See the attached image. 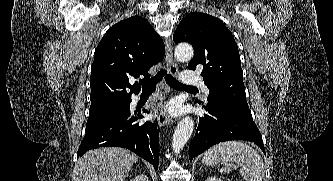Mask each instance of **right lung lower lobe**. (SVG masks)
Listing matches in <instances>:
<instances>
[{
	"label": "right lung lower lobe",
	"mask_w": 333,
	"mask_h": 181,
	"mask_svg": "<svg viewBox=\"0 0 333 181\" xmlns=\"http://www.w3.org/2000/svg\"><path fill=\"white\" fill-rule=\"evenodd\" d=\"M128 104L111 115L91 122L86 126L84 140L77 152V158L90 149L99 147H123L150 162L155 170L159 161V126L157 123L137 122L143 118L140 113L132 115ZM149 113V111L144 110Z\"/></svg>",
	"instance_id": "obj_1"
}]
</instances>
